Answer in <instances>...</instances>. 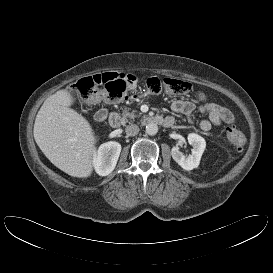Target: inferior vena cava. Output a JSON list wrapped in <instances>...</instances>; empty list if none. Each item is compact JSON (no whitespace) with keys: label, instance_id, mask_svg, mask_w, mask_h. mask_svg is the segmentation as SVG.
Listing matches in <instances>:
<instances>
[{"label":"inferior vena cava","instance_id":"602c4592","mask_svg":"<svg viewBox=\"0 0 273 273\" xmlns=\"http://www.w3.org/2000/svg\"><path fill=\"white\" fill-rule=\"evenodd\" d=\"M139 130H140L139 127L135 124L128 125L125 128L126 134L129 136L137 135L139 133Z\"/></svg>","mask_w":273,"mask_h":273}]
</instances>
